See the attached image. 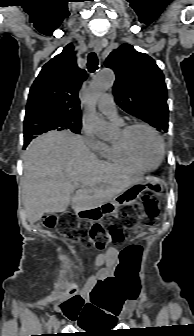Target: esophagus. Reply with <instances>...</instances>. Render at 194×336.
<instances>
[{
    "instance_id": "obj_1",
    "label": "esophagus",
    "mask_w": 194,
    "mask_h": 336,
    "mask_svg": "<svg viewBox=\"0 0 194 336\" xmlns=\"http://www.w3.org/2000/svg\"><path fill=\"white\" fill-rule=\"evenodd\" d=\"M103 46V40L102 39H96L94 44V49L97 53H99L102 50Z\"/></svg>"
}]
</instances>
